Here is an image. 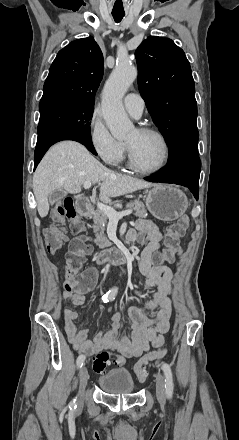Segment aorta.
Instances as JSON below:
<instances>
[{"label": "aorta", "instance_id": "obj_1", "mask_svg": "<svg viewBox=\"0 0 239 440\" xmlns=\"http://www.w3.org/2000/svg\"><path fill=\"white\" fill-rule=\"evenodd\" d=\"M137 78V70L125 60H118L117 66L112 70L104 88L101 100L103 118L113 138L125 140L128 134L134 132L135 126L128 118L122 98L128 88Z\"/></svg>", "mask_w": 239, "mask_h": 440}]
</instances>
